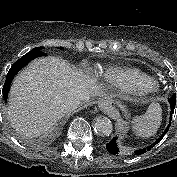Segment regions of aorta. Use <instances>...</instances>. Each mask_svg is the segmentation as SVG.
I'll return each mask as SVG.
<instances>
[{
	"label": "aorta",
	"mask_w": 177,
	"mask_h": 177,
	"mask_svg": "<svg viewBox=\"0 0 177 177\" xmlns=\"http://www.w3.org/2000/svg\"><path fill=\"white\" fill-rule=\"evenodd\" d=\"M93 128L94 131L101 136H109L113 130L110 119L105 116L97 117L93 123Z\"/></svg>",
	"instance_id": "762f6f07"
}]
</instances>
